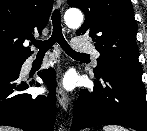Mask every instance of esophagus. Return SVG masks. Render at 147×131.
I'll list each match as a JSON object with an SVG mask.
<instances>
[{
    "label": "esophagus",
    "instance_id": "1",
    "mask_svg": "<svg viewBox=\"0 0 147 131\" xmlns=\"http://www.w3.org/2000/svg\"><path fill=\"white\" fill-rule=\"evenodd\" d=\"M63 2L64 0H57V5L60 7L63 4ZM57 100L61 105L62 109L64 111H67L70 98L69 95L62 89V87H59L57 90Z\"/></svg>",
    "mask_w": 147,
    "mask_h": 131
}]
</instances>
